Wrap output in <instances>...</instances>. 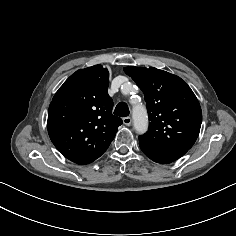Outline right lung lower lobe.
Here are the masks:
<instances>
[{"instance_id": "right-lung-lower-lobe-1", "label": "right lung lower lobe", "mask_w": 236, "mask_h": 236, "mask_svg": "<svg viewBox=\"0 0 236 236\" xmlns=\"http://www.w3.org/2000/svg\"><path fill=\"white\" fill-rule=\"evenodd\" d=\"M71 161L77 164H81V165L91 163V162H83V161H76V160H71Z\"/></svg>"}]
</instances>
